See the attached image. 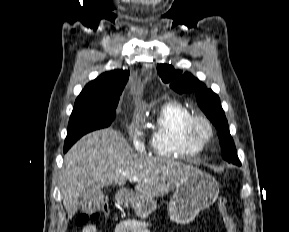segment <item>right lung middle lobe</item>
<instances>
[{
  "label": "right lung middle lobe",
  "instance_id": "1",
  "mask_svg": "<svg viewBox=\"0 0 289 232\" xmlns=\"http://www.w3.org/2000/svg\"><path fill=\"white\" fill-rule=\"evenodd\" d=\"M118 102L117 97L77 98L69 120L64 152L84 134L110 126Z\"/></svg>",
  "mask_w": 289,
  "mask_h": 232
}]
</instances>
